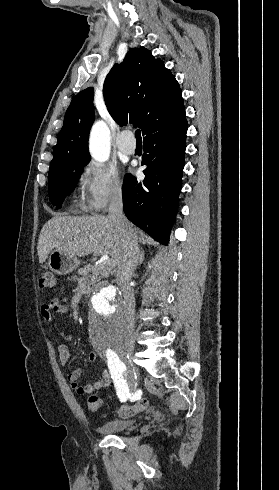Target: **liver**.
I'll return each mask as SVG.
<instances>
[{"mask_svg":"<svg viewBox=\"0 0 279 490\" xmlns=\"http://www.w3.org/2000/svg\"><path fill=\"white\" fill-rule=\"evenodd\" d=\"M130 224V222H129ZM124 230H131L136 238L142 232L130 224ZM126 236L123 230H118L107 216H54L43 226L38 240L39 264H44L51 250L57 248L59 252L69 256H103L109 254L113 264L122 260Z\"/></svg>","mask_w":279,"mask_h":490,"instance_id":"1","label":"liver"}]
</instances>
